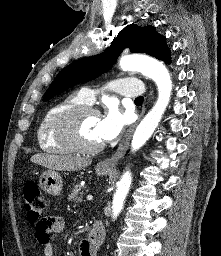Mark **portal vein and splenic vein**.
I'll use <instances>...</instances> for the list:
<instances>
[{
    "mask_svg": "<svg viewBox=\"0 0 221 256\" xmlns=\"http://www.w3.org/2000/svg\"><path fill=\"white\" fill-rule=\"evenodd\" d=\"M93 200V196L92 195H87V201H92Z\"/></svg>",
    "mask_w": 221,
    "mask_h": 256,
    "instance_id": "18ae733b",
    "label": "portal vein and splenic vein"
}]
</instances>
